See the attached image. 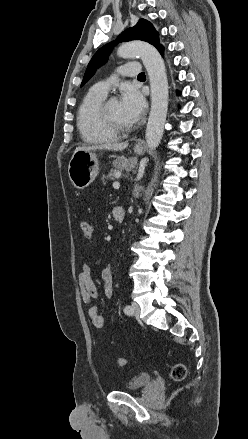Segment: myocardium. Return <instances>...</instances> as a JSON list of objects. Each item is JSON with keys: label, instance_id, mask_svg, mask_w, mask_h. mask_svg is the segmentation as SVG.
<instances>
[{"label": "myocardium", "instance_id": "1", "mask_svg": "<svg viewBox=\"0 0 248 439\" xmlns=\"http://www.w3.org/2000/svg\"><path fill=\"white\" fill-rule=\"evenodd\" d=\"M111 99L104 100L99 108L98 116L100 119V122L102 125L110 132L117 134V135H123L126 133H129L133 130V125L128 126H122L117 124L111 117L109 112V103Z\"/></svg>", "mask_w": 248, "mask_h": 439}]
</instances>
